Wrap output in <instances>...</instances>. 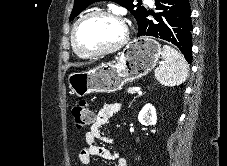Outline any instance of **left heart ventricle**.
<instances>
[{"instance_id":"1","label":"left heart ventricle","mask_w":227,"mask_h":166,"mask_svg":"<svg viewBox=\"0 0 227 166\" xmlns=\"http://www.w3.org/2000/svg\"><path fill=\"white\" fill-rule=\"evenodd\" d=\"M123 36V27L107 16H93L82 22L76 32L78 45L87 51L107 48L118 43Z\"/></svg>"}]
</instances>
